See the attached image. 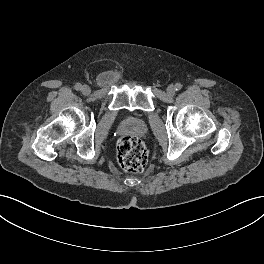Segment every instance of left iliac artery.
Segmentation results:
<instances>
[{
  "label": "left iliac artery",
  "instance_id": "1",
  "mask_svg": "<svg viewBox=\"0 0 264 264\" xmlns=\"http://www.w3.org/2000/svg\"><path fill=\"white\" fill-rule=\"evenodd\" d=\"M182 88V85L180 83L175 84V89L178 91Z\"/></svg>",
  "mask_w": 264,
  "mask_h": 264
}]
</instances>
